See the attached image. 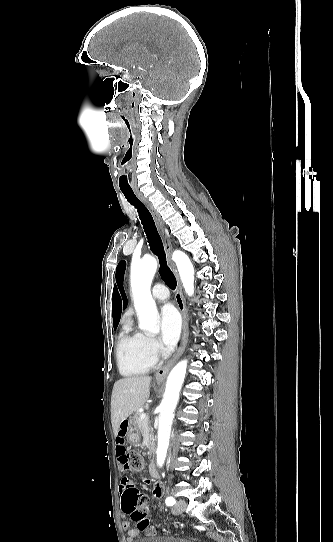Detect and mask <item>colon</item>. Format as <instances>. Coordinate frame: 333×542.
Listing matches in <instances>:
<instances>
[{"instance_id": "obj_1", "label": "colon", "mask_w": 333, "mask_h": 542, "mask_svg": "<svg viewBox=\"0 0 333 542\" xmlns=\"http://www.w3.org/2000/svg\"><path fill=\"white\" fill-rule=\"evenodd\" d=\"M129 469L134 473H141L144 469L145 460L139 452H131L129 458ZM142 489H123L120 501L126 516L137 524L140 531H144L147 535H152L155 532V527L151 524L149 518L150 502H145L144 507H140L139 500H142Z\"/></svg>"}]
</instances>
